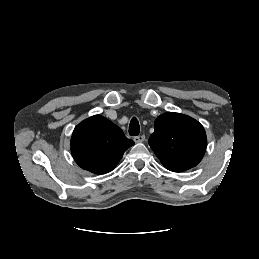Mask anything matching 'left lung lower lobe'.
I'll return each mask as SVG.
<instances>
[{"label":"left lung lower lobe","instance_id":"1","mask_svg":"<svg viewBox=\"0 0 259 259\" xmlns=\"http://www.w3.org/2000/svg\"><path fill=\"white\" fill-rule=\"evenodd\" d=\"M167 169L170 171H173V172H182V171L187 170V169H182V168H167Z\"/></svg>","mask_w":259,"mask_h":259}]
</instances>
